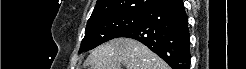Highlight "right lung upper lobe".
<instances>
[{"mask_svg":"<svg viewBox=\"0 0 246 69\" xmlns=\"http://www.w3.org/2000/svg\"><path fill=\"white\" fill-rule=\"evenodd\" d=\"M167 0H97L88 21L118 14H142Z\"/></svg>","mask_w":246,"mask_h":69,"instance_id":"obj_1","label":"right lung upper lobe"}]
</instances>
